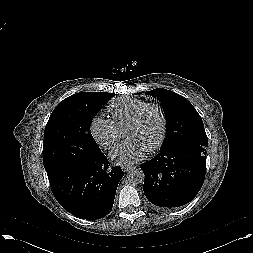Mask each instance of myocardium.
<instances>
[{
  "mask_svg": "<svg viewBox=\"0 0 253 253\" xmlns=\"http://www.w3.org/2000/svg\"><path fill=\"white\" fill-rule=\"evenodd\" d=\"M150 108H155L160 115L161 119V127H160V133L158 136V139L156 142L147 150L148 152H154L156 151L163 143L165 134H166V127H167V120L166 115L163 107L159 103L151 102L144 104L131 118V120L126 125L125 129L132 128L135 126L139 120L141 119L142 115Z\"/></svg>",
  "mask_w": 253,
  "mask_h": 253,
  "instance_id": "f54148a6",
  "label": "myocardium"
}]
</instances>
